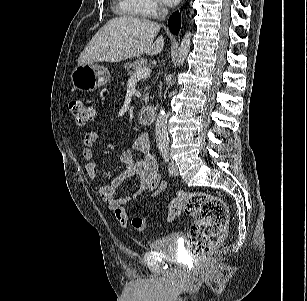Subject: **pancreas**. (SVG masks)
<instances>
[{
	"label": "pancreas",
	"mask_w": 307,
	"mask_h": 301,
	"mask_svg": "<svg viewBox=\"0 0 307 301\" xmlns=\"http://www.w3.org/2000/svg\"><path fill=\"white\" fill-rule=\"evenodd\" d=\"M142 67H148V63L146 59L138 58L135 61L127 62L124 64L125 71L127 72V75H133L137 69ZM148 89L147 87L145 88ZM143 103H147L149 101V93L146 92L142 99Z\"/></svg>",
	"instance_id": "1"
}]
</instances>
